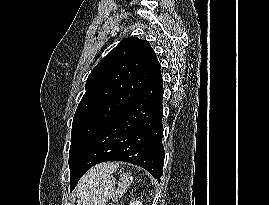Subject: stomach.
<instances>
[{
	"label": "stomach",
	"instance_id": "obj_1",
	"mask_svg": "<svg viewBox=\"0 0 269 205\" xmlns=\"http://www.w3.org/2000/svg\"><path fill=\"white\" fill-rule=\"evenodd\" d=\"M115 195H119L116 191L115 179L107 175L80 197L78 205H106Z\"/></svg>",
	"mask_w": 269,
	"mask_h": 205
}]
</instances>
